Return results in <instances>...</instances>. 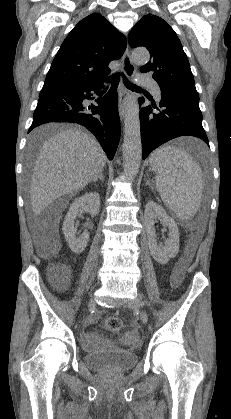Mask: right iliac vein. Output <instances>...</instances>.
Returning <instances> with one entry per match:
<instances>
[{"instance_id": "right-iliac-vein-1", "label": "right iliac vein", "mask_w": 231, "mask_h": 419, "mask_svg": "<svg viewBox=\"0 0 231 419\" xmlns=\"http://www.w3.org/2000/svg\"><path fill=\"white\" fill-rule=\"evenodd\" d=\"M93 304H94V300H93V299H90V301H89L88 305H89V306H92Z\"/></svg>"}]
</instances>
